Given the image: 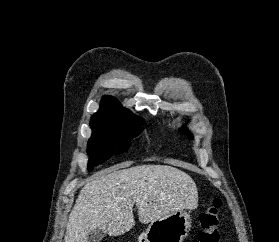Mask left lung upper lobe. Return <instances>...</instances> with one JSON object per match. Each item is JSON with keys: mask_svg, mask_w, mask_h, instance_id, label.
Here are the masks:
<instances>
[{"mask_svg": "<svg viewBox=\"0 0 279 242\" xmlns=\"http://www.w3.org/2000/svg\"><path fill=\"white\" fill-rule=\"evenodd\" d=\"M182 131H183L185 134L189 133V131H188L187 129H185V128H183ZM189 135L192 137L191 133H189ZM192 138H193V137H192Z\"/></svg>", "mask_w": 279, "mask_h": 242, "instance_id": "1", "label": "left lung upper lobe"}]
</instances>
